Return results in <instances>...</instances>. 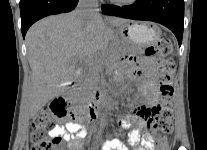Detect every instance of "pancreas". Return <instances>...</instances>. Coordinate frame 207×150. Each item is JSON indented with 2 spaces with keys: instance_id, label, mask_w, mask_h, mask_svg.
<instances>
[{
  "instance_id": "1",
  "label": "pancreas",
  "mask_w": 207,
  "mask_h": 150,
  "mask_svg": "<svg viewBox=\"0 0 207 150\" xmlns=\"http://www.w3.org/2000/svg\"><path fill=\"white\" fill-rule=\"evenodd\" d=\"M119 56V52L116 49L109 50L104 57L96 58L99 62L89 65V70L81 77L82 88L84 90H90L94 88L99 81V71L102 65L111 67Z\"/></svg>"
}]
</instances>
